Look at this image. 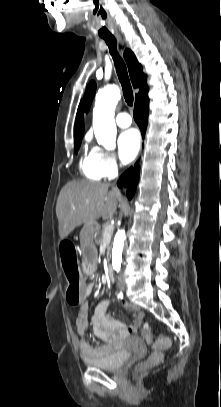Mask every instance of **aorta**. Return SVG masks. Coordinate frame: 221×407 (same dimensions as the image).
Listing matches in <instances>:
<instances>
[{
	"label": "aorta",
	"instance_id": "762f6f07",
	"mask_svg": "<svg viewBox=\"0 0 221 407\" xmlns=\"http://www.w3.org/2000/svg\"><path fill=\"white\" fill-rule=\"evenodd\" d=\"M120 97V89L115 85L100 90L96 95L93 109V129L98 144L103 145L106 149L115 147L116 125L114 111ZM124 242L125 230H118L112 249V267L116 272H119L121 268Z\"/></svg>",
	"mask_w": 221,
	"mask_h": 407
}]
</instances>
